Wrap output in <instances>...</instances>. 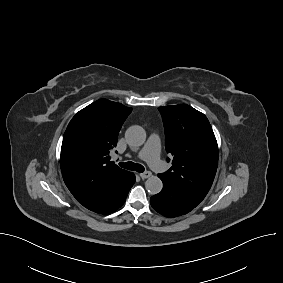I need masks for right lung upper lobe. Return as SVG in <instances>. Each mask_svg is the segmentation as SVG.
<instances>
[{"label":"right lung upper lobe","instance_id":"cb5924a9","mask_svg":"<svg viewBox=\"0 0 283 283\" xmlns=\"http://www.w3.org/2000/svg\"><path fill=\"white\" fill-rule=\"evenodd\" d=\"M132 108L99 99L80 110L64 133L60 165L64 182L89 210L109 201L126 185L131 173L112 165L121 126Z\"/></svg>","mask_w":283,"mask_h":283}]
</instances>
